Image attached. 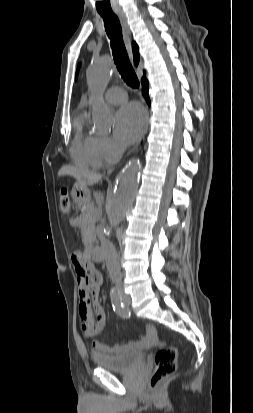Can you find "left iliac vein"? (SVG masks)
<instances>
[{"label": "left iliac vein", "mask_w": 253, "mask_h": 413, "mask_svg": "<svg viewBox=\"0 0 253 413\" xmlns=\"http://www.w3.org/2000/svg\"><path fill=\"white\" fill-rule=\"evenodd\" d=\"M123 302L126 306H129L130 305V297L124 294L123 295Z\"/></svg>", "instance_id": "obj_1"}]
</instances>
